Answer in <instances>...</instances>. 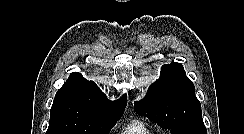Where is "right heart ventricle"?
I'll use <instances>...</instances> for the list:
<instances>
[{"label":"right heart ventricle","instance_id":"right-heart-ventricle-1","mask_svg":"<svg viewBox=\"0 0 244 134\" xmlns=\"http://www.w3.org/2000/svg\"><path fill=\"white\" fill-rule=\"evenodd\" d=\"M121 134H154L144 123L133 122L129 124Z\"/></svg>","mask_w":244,"mask_h":134}]
</instances>
